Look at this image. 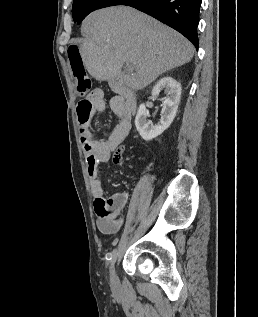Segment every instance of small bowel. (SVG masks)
Returning a JSON list of instances; mask_svg holds the SVG:
<instances>
[{
	"mask_svg": "<svg viewBox=\"0 0 258 317\" xmlns=\"http://www.w3.org/2000/svg\"><path fill=\"white\" fill-rule=\"evenodd\" d=\"M106 102L101 90L94 89L90 95L77 103L76 112L79 124L80 139L86 157L90 188L94 200V211L98 229L105 234L118 232L125 223L124 210L129 201L127 192H120L105 198L102 180L99 176L101 166H106L112 152L128 136L132 127L131 102L117 95L110 99L109 108L118 117V123L105 142L94 139L89 123L97 112L106 110ZM113 162L122 165L123 161Z\"/></svg>",
	"mask_w": 258,
	"mask_h": 317,
	"instance_id": "obj_1",
	"label": "small bowel"
}]
</instances>
